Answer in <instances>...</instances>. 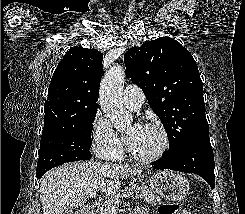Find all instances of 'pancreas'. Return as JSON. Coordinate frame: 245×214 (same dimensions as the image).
Masks as SVG:
<instances>
[{
  "label": "pancreas",
  "mask_w": 245,
  "mask_h": 214,
  "mask_svg": "<svg viewBox=\"0 0 245 214\" xmlns=\"http://www.w3.org/2000/svg\"><path fill=\"white\" fill-rule=\"evenodd\" d=\"M131 191L140 192V194H137L136 197L144 199V201L149 204L156 205L157 203H161V199L156 196L153 190L149 189L146 185H142L140 187L130 185L126 187L125 190L119 191L115 196L106 201L102 206L100 214H112V207H118L122 196L130 193Z\"/></svg>",
  "instance_id": "pancreas-1"
}]
</instances>
